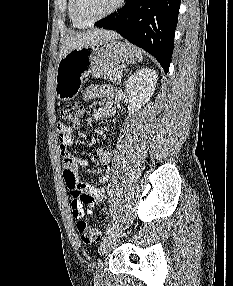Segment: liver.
<instances>
[{
    "mask_svg": "<svg viewBox=\"0 0 233 286\" xmlns=\"http://www.w3.org/2000/svg\"><path fill=\"white\" fill-rule=\"evenodd\" d=\"M120 36L114 31L93 29L82 33L68 36L59 52L58 61L73 49L95 45L104 40L119 39Z\"/></svg>",
    "mask_w": 233,
    "mask_h": 286,
    "instance_id": "liver-1",
    "label": "liver"
}]
</instances>
